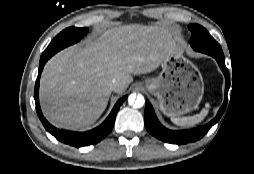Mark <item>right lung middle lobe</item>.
<instances>
[{"mask_svg": "<svg viewBox=\"0 0 254 174\" xmlns=\"http://www.w3.org/2000/svg\"><path fill=\"white\" fill-rule=\"evenodd\" d=\"M88 32V28L69 27L60 32L43 52L41 59H49L61 49L78 42Z\"/></svg>", "mask_w": 254, "mask_h": 174, "instance_id": "1", "label": "right lung middle lobe"}]
</instances>
